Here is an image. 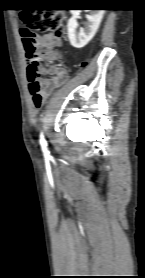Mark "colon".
Returning a JSON list of instances; mask_svg holds the SVG:
<instances>
[{"label": "colon", "instance_id": "5ec220e1", "mask_svg": "<svg viewBox=\"0 0 145 278\" xmlns=\"http://www.w3.org/2000/svg\"><path fill=\"white\" fill-rule=\"evenodd\" d=\"M23 28L20 30L25 57L28 61L27 82L32 97V105L39 109L44 100L40 86V74L37 66L42 61L55 62L59 54L53 44L40 45L36 34L48 33L57 36L66 34L64 17L56 13L25 12L21 15ZM53 83V82H52Z\"/></svg>", "mask_w": 145, "mask_h": 278}]
</instances>
